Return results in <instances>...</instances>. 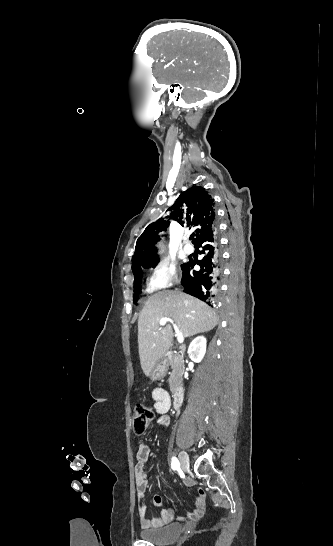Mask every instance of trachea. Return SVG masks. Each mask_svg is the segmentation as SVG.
<instances>
[{"mask_svg": "<svg viewBox=\"0 0 333 546\" xmlns=\"http://www.w3.org/2000/svg\"><path fill=\"white\" fill-rule=\"evenodd\" d=\"M193 238H194V235H191V236H190V239L192 240Z\"/></svg>", "mask_w": 333, "mask_h": 546, "instance_id": "1", "label": "trachea"}]
</instances>
